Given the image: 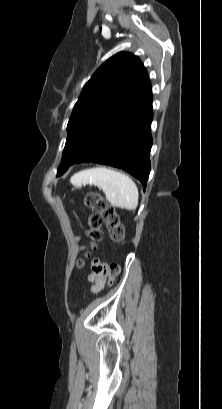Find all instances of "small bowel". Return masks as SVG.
I'll return each instance as SVG.
<instances>
[{"mask_svg":"<svg viewBox=\"0 0 222 409\" xmlns=\"http://www.w3.org/2000/svg\"><path fill=\"white\" fill-rule=\"evenodd\" d=\"M91 263L92 273L89 276V281L93 284L91 291L96 293L103 288L108 279L107 270L110 267V262L104 260L103 256H92Z\"/></svg>","mask_w":222,"mask_h":409,"instance_id":"c3829d8e","label":"small bowel"}]
</instances>
